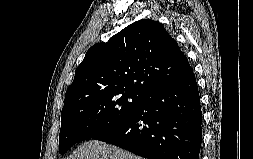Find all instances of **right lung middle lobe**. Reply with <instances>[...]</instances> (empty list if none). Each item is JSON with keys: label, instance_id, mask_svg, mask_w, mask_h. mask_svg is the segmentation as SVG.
Segmentation results:
<instances>
[{"label": "right lung middle lobe", "instance_id": "obj_1", "mask_svg": "<svg viewBox=\"0 0 253 159\" xmlns=\"http://www.w3.org/2000/svg\"><path fill=\"white\" fill-rule=\"evenodd\" d=\"M143 99L144 95L137 92L109 91L64 104L59 135L60 153L64 154L75 143L120 124L142 104Z\"/></svg>", "mask_w": 253, "mask_h": 159}]
</instances>
